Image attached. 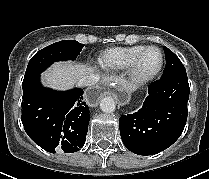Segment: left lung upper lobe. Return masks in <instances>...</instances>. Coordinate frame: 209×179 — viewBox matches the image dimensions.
Segmentation results:
<instances>
[{"label": "left lung upper lobe", "instance_id": "5c2ea615", "mask_svg": "<svg viewBox=\"0 0 209 179\" xmlns=\"http://www.w3.org/2000/svg\"><path fill=\"white\" fill-rule=\"evenodd\" d=\"M164 50L166 56V67L161 78H168L176 74L186 73V70L178 57L167 47H164Z\"/></svg>", "mask_w": 209, "mask_h": 179}]
</instances>
